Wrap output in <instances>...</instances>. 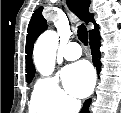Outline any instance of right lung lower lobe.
Instances as JSON below:
<instances>
[{
    "instance_id": "98d812e1",
    "label": "right lung lower lobe",
    "mask_w": 121,
    "mask_h": 113,
    "mask_svg": "<svg viewBox=\"0 0 121 113\" xmlns=\"http://www.w3.org/2000/svg\"><path fill=\"white\" fill-rule=\"evenodd\" d=\"M89 38H90L92 60H93L94 66L97 68V72L99 74V72L101 70V62H100L101 53L99 51V48H100L99 32L96 31L95 33L91 34L89 36ZM90 103H91V99H88L85 101L83 108L81 110V113H88L89 112Z\"/></svg>"
}]
</instances>
